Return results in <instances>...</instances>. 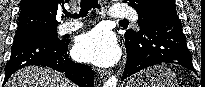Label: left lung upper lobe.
Masks as SVG:
<instances>
[{
  "label": "left lung upper lobe",
  "instance_id": "5c2ea615",
  "mask_svg": "<svg viewBox=\"0 0 205 87\" xmlns=\"http://www.w3.org/2000/svg\"><path fill=\"white\" fill-rule=\"evenodd\" d=\"M129 5L138 13L140 31L129 29L125 33V40L132 41L142 37L147 20L158 13L171 11L176 12L175 0H129Z\"/></svg>",
  "mask_w": 205,
  "mask_h": 87
}]
</instances>
